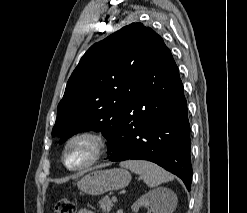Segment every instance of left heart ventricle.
I'll use <instances>...</instances> for the list:
<instances>
[{
	"instance_id": "obj_1",
	"label": "left heart ventricle",
	"mask_w": 247,
	"mask_h": 213,
	"mask_svg": "<svg viewBox=\"0 0 247 213\" xmlns=\"http://www.w3.org/2000/svg\"><path fill=\"white\" fill-rule=\"evenodd\" d=\"M93 152V145L88 140H78L68 149L66 160L69 166L77 167L89 160Z\"/></svg>"
}]
</instances>
